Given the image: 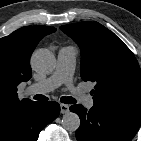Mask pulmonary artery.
Listing matches in <instances>:
<instances>
[{"instance_id": "e3ab8cb5", "label": "pulmonary artery", "mask_w": 141, "mask_h": 141, "mask_svg": "<svg viewBox=\"0 0 141 141\" xmlns=\"http://www.w3.org/2000/svg\"><path fill=\"white\" fill-rule=\"evenodd\" d=\"M76 56L77 50L74 47L60 48L53 73L48 78L30 85L26 92L28 94H43L65 84L70 91L78 95L86 107L91 108L94 105L93 99L86 94L78 92L72 84Z\"/></svg>"}]
</instances>
